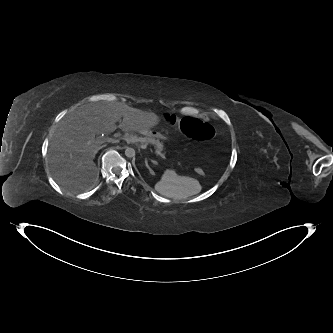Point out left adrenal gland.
<instances>
[{
    "instance_id": "1",
    "label": "left adrenal gland",
    "mask_w": 333,
    "mask_h": 333,
    "mask_svg": "<svg viewBox=\"0 0 333 333\" xmlns=\"http://www.w3.org/2000/svg\"><path fill=\"white\" fill-rule=\"evenodd\" d=\"M145 166L147 167V169L149 170V172L151 173V174H153V170L150 168V166L148 165V161H147V159H145Z\"/></svg>"
}]
</instances>
